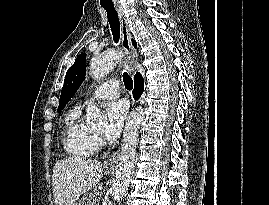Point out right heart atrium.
I'll list each match as a JSON object with an SVG mask.
<instances>
[{"label": "right heart atrium", "mask_w": 269, "mask_h": 205, "mask_svg": "<svg viewBox=\"0 0 269 205\" xmlns=\"http://www.w3.org/2000/svg\"><path fill=\"white\" fill-rule=\"evenodd\" d=\"M95 141H96V144H100L101 143V139L99 137H95Z\"/></svg>", "instance_id": "obj_1"}]
</instances>
